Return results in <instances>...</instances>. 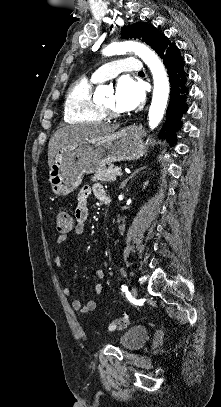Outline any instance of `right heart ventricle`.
<instances>
[{"label":"right heart ventricle","mask_w":221,"mask_h":407,"mask_svg":"<svg viewBox=\"0 0 221 407\" xmlns=\"http://www.w3.org/2000/svg\"><path fill=\"white\" fill-rule=\"evenodd\" d=\"M97 82L85 77L76 80L68 89L64 103V120L68 123L100 122L105 116L100 104L93 99V86Z\"/></svg>","instance_id":"1"}]
</instances>
